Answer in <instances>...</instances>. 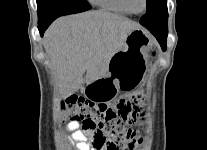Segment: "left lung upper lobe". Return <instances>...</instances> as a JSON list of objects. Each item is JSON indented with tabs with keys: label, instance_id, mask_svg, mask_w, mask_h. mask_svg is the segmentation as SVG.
<instances>
[{
	"label": "left lung upper lobe",
	"instance_id": "5c2ea615",
	"mask_svg": "<svg viewBox=\"0 0 207 150\" xmlns=\"http://www.w3.org/2000/svg\"><path fill=\"white\" fill-rule=\"evenodd\" d=\"M167 22V1L147 0V10L140 19V23L147 28H165Z\"/></svg>",
	"mask_w": 207,
	"mask_h": 150
}]
</instances>
